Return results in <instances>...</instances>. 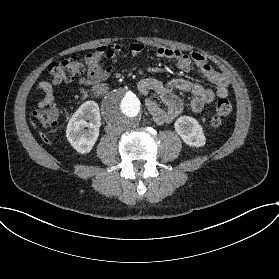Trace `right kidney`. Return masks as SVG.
Segmentation results:
<instances>
[{"instance_id":"1","label":"right kidney","mask_w":279,"mask_h":279,"mask_svg":"<svg viewBox=\"0 0 279 279\" xmlns=\"http://www.w3.org/2000/svg\"><path fill=\"white\" fill-rule=\"evenodd\" d=\"M101 116L95 101L84 102L70 118L66 137L72 147L84 154L92 150L99 136Z\"/></svg>"}]
</instances>
